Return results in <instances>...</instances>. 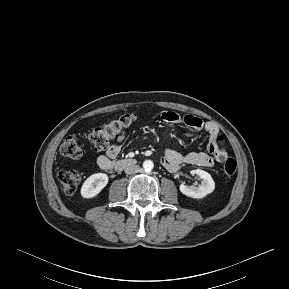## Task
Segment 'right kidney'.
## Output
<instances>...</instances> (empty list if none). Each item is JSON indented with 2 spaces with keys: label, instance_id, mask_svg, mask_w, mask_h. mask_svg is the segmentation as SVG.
Returning <instances> with one entry per match:
<instances>
[{
  "label": "right kidney",
  "instance_id": "ca27d5eb",
  "mask_svg": "<svg viewBox=\"0 0 289 289\" xmlns=\"http://www.w3.org/2000/svg\"><path fill=\"white\" fill-rule=\"evenodd\" d=\"M108 176L104 173H96L89 176L81 187V195L84 198H93L107 185Z\"/></svg>",
  "mask_w": 289,
  "mask_h": 289
}]
</instances>
